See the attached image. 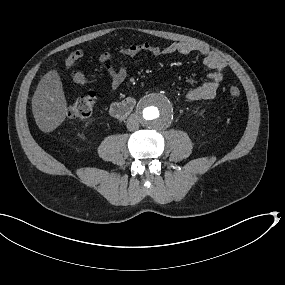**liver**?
I'll return each mask as SVG.
<instances>
[{"label":"liver","mask_w":285,"mask_h":285,"mask_svg":"<svg viewBox=\"0 0 285 285\" xmlns=\"http://www.w3.org/2000/svg\"><path fill=\"white\" fill-rule=\"evenodd\" d=\"M35 123L43 133L54 131L68 116L60 73L52 68L39 81L31 99Z\"/></svg>","instance_id":"liver-1"}]
</instances>
